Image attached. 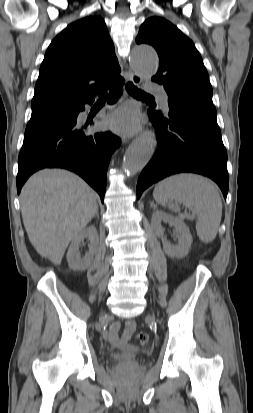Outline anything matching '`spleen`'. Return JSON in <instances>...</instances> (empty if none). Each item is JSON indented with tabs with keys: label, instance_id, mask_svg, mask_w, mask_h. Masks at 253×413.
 Masks as SVG:
<instances>
[{
	"label": "spleen",
	"instance_id": "3e777b00",
	"mask_svg": "<svg viewBox=\"0 0 253 413\" xmlns=\"http://www.w3.org/2000/svg\"><path fill=\"white\" fill-rule=\"evenodd\" d=\"M153 196L157 203L163 206L168 204L174 212L180 211L177 204L188 208L197 216L196 232L199 239L204 243L215 239L221 222L222 201L212 181L197 174L173 175L157 184Z\"/></svg>",
	"mask_w": 253,
	"mask_h": 413
}]
</instances>
